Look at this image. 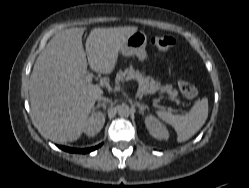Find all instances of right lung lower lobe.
I'll return each mask as SVG.
<instances>
[{
	"label": "right lung lower lobe",
	"instance_id": "98d812e1",
	"mask_svg": "<svg viewBox=\"0 0 249 188\" xmlns=\"http://www.w3.org/2000/svg\"><path fill=\"white\" fill-rule=\"evenodd\" d=\"M100 146H101V144L98 146H95V147L87 148V149H76V148H70V147H65V146H60V148L65 150V151L72 152V153H89V152L97 149Z\"/></svg>",
	"mask_w": 249,
	"mask_h": 188
}]
</instances>
